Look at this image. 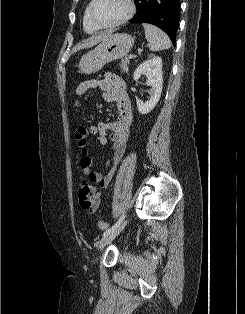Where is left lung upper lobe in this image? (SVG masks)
<instances>
[{
  "label": "left lung upper lobe",
  "mask_w": 245,
  "mask_h": 314,
  "mask_svg": "<svg viewBox=\"0 0 245 314\" xmlns=\"http://www.w3.org/2000/svg\"><path fill=\"white\" fill-rule=\"evenodd\" d=\"M135 4H136V8H138V3H139V0H134Z\"/></svg>",
  "instance_id": "1"
}]
</instances>
